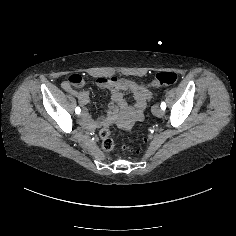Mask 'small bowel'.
<instances>
[{
  "label": "small bowel",
  "instance_id": "obj_1",
  "mask_svg": "<svg viewBox=\"0 0 236 236\" xmlns=\"http://www.w3.org/2000/svg\"><path fill=\"white\" fill-rule=\"evenodd\" d=\"M97 83H98L99 85H103V84H105L106 82H102V79H98V80H97ZM63 88H64L66 91H68V92H70V93H72V94L77 93L76 91L73 90L72 85H71L68 81L63 83ZM77 94H79V95L82 96V98H83L82 100H80V102H81L82 104H86L87 101H88V94H87L86 92H81V93H77ZM143 96H144V103H143L142 106H141L140 112H141V110H142V109L145 107V105H146L145 101H146V99L149 98V93L146 92V91H143ZM84 98H86V99H84ZM140 112H139V113H140Z\"/></svg>",
  "mask_w": 236,
  "mask_h": 236
}]
</instances>
